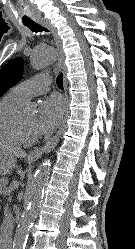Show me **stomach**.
<instances>
[{"label": "stomach", "instance_id": "1", "mask_svg": "<svg viewBox=\"0 0 135 249\" xmlns=\"http://www.w3.org/2000/svg\"><path fill=\"white\" fill-rule=\"evenodd\" d=\"M15 158L0 150V175L10 174L15 167Z\"/></svg>", "mask_w": 135, "mask_h": 249}]
</instances>
